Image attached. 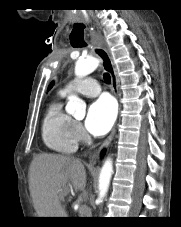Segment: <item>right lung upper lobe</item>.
<instances>
[{"mask_svg":"<svg viewBox=\"0 0 181 227\" xmlns=\"http://www.w3.org/2000/svg\"><path fill=\"white\" fill-rule=\"evenodd\" d=\"M53 86V82L49 85L48 90H50Z\"/></svg>","mask_w":181,"mask_h":227,"instance_id":"1","label":"right lung upper lobe"}]
</instances>
